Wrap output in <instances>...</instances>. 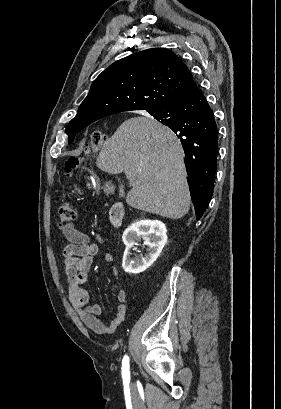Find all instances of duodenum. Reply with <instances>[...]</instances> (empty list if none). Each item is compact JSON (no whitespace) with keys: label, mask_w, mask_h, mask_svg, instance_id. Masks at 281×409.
<instances>
[{"label":"duodenum","mask_w":281,"mask_h":409,"mask_svg":"<svg viewBox=\"0 0 281 409\" xmlns=\"http://www.w3.org/2000/svg\"><path fill=\"white\" fill-rule=\"evenodd\" d=\"M124 217V206L117 202L113 204L109 210V218L114 226H120Z\"/></svg>","instance_id":"1"}]
</instances>
